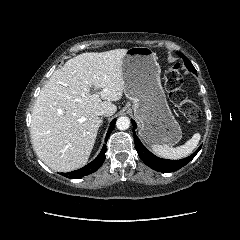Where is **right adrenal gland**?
Returning <instances> with one entry per match:
<instances>
[{
	"instance_id": "obj_1",
	"label": "right adrenal gland",
	"mask_w": 240,
	"mask_h": 240,
	"mask_svg": "<svg viewBox=\"0 0 240 240\" xmlns=\"http://www.w3.org/2000/svg\"><path fill=\"white\" fill-rule=\"evenodd\" d=\"M102 123H103V120H102V118H101V124H100V126L102 125Z\"/></svg>"
}]
</instances>
